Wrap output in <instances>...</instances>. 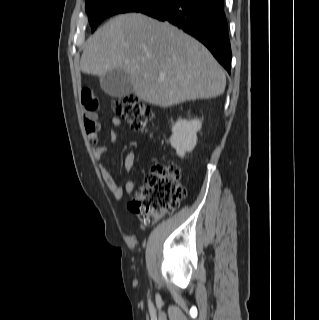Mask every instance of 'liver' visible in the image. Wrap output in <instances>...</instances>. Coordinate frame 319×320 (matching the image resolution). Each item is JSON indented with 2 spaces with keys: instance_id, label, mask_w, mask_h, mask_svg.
Listing matches in <instances>:
<instances>
[{
  "instance_id": "obj_1",
  "label": "liver",
  "mask_w": 319,
  "mask_h": 320,
  "mask_svg": "<svg viewBox=\"0 0 319 320\" xmlns=\"http://www.w3.org/2000/svg\"><path fill=\"white\" fill-rule=\"evenodd\" d=\"M80 69L93 76L122 70L139 99L161 107L215 98L226 86L224 69L201 43L140 13L118 15L89 37Z\"/></svg>"
}]
</instances>
